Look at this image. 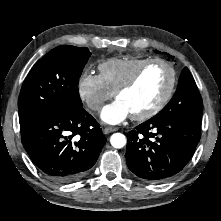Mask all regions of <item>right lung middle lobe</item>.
Here are the masks:
<instances>
[{"instance_id": "right-lung-middle-lobe-1", "label": "right lung middle lobe", "mask_w": 221, "mask_h": 221, "mask_svg": "<svg viewBox=\"0 0 221 221\" xmlns=\"http://www.w3.org/2000/svg\"><path fill=\"white\" fill-rule=\"evenodd\" d=\"M91 53L88 48L58 46L30 70L18 100L20 125L53 113L83 108L78 81Z\"/></svg>"}]
</instances>
